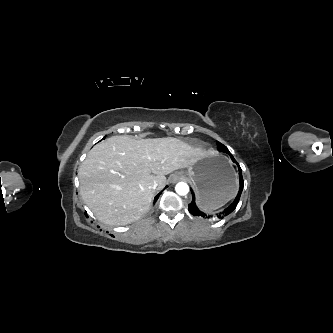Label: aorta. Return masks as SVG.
Here are the masks:
<instances>
[{"label": "aorta", "instance_id": "obj_1", "mask_svg": "<svg viewBox=\"0 0 333 333\" xmlns=\"http://www.w3.org/2000/svg\"><path fill=\"white\" fill-rule=\"evenodd\" d=\"M176 193L179 195H186L189 192V186L185 182H179L175 186Z\"/></svg>", "mask_w": 333, "mask_h": 333}]
</instances>
